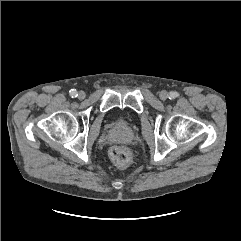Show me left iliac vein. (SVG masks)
<instances>
[{
  "label": "left iliac vein",
  "instance_id": "4c4485c4",
  "mask_svg": "<svg viewBox=\"0 0 241 241\" xmlns=\"http://www.w3.org/2000/svg\"><path fill=\"white\" fill-rule=\"evenodd\" d=\"M167 98H168V93H167L166 91H161V93H160V99H161L162 101H165V100H167Z\"/></svg>",
  "mask_w": 241,
  "mask_h": 241
}]
</instances>
